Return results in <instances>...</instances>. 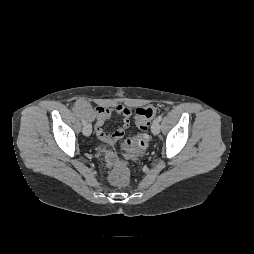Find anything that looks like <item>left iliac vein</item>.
Listing matches in <instances>:
<instances>
[{"mask_svg":"<svg viewBox=\"0 0 254 254\" xmlns=\"http://www.w3.org/2000/svg\"><path fill=\"white\" fill-rule=\"evenodd\" d=\"M151 131L154 135L159 134V132H160V122L157 119L154 120V122L152 123Z\"/></svg>","mask_w":254,"mask_h":254,"instance_id":"left-iliac-vein-1","label":"left iliac vein"}]
</instances>
